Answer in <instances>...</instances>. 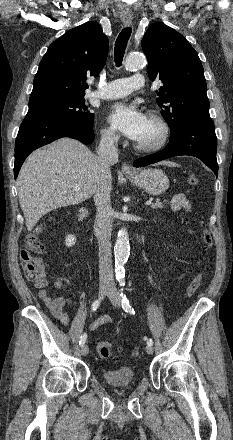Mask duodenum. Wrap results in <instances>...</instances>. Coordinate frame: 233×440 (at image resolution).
Masks as SVG:
<instances>
[{"label":"duodenum","instance_id":"duodenum-1","mask_svg":"<svg viewBox=\"0 0 233 440\" xmlns=\"http://www.w3.org/2000/svg\"><path fill=\"white\" fill-rule=\"evenodd\" d=\"M86 215H87V211L85 209H81L77 216L78 223H81L85 219Z\"/></svg>","mask_w":233,"mask_h":440}]
</instances>
